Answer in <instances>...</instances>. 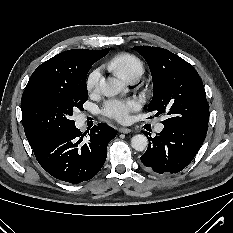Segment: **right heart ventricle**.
Listing matches in <instances>:
<instances>
[{
    "mask_svg": "<svg viewBox=\"0 0 233 233\" xmlns=\"http://www.w3.org/2000/svg\"><path fill=\"white\" fill-rule=\"evenodd\" d=\"M107 67L124 80H127L133 74H142L143 72L142 62L129 53H121L114 56L108 62Z\"/></svg>",
    "mask_w": 233,
    "mask_h": 233,
    "instance_id": "1",
    "label": "right heart ventricle"
}]
</instances>
